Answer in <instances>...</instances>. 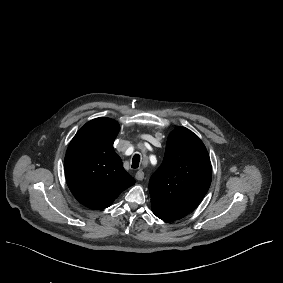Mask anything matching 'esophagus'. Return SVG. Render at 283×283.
I'll return each instance as SVG.
<instances>
[{
	"label": "esophagus",
	"mask_w": 283,
	"mask_h": 283,
	"mask_svg": "<svg viewBox=\"0 0 283 283\" xmlns=\"http://www.w3.org/2000/svg\"><path fill=\"white\" fill-rule=\"evenodd\" d=\"M144 176H145V174L142 170L137 171L136 174H135V178L139 181L143 180Z\"/></svg>",
	"instance_id": "34e87169"
}]
</instances>
